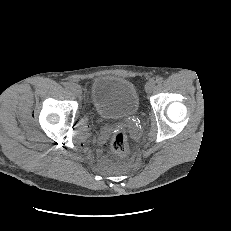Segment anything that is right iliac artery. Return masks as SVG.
Listing matches in <instances>:
<instances>
[{"label": "right iliac artery", "mask_w": 231, "mask_h": 231, "mask_svg": "<svg viewBox=\"0 0 231 231\" xmlns=\"http://www.w3.org/2000/svg\"><path fill=\"white\" fill-rule=\"evenodd\" d=\"M63 86H64L65 88H70L71 84H70L69 82H64V83H63Z\"/></svg>", "instance_id": "82829eb1"}]
</instances>
